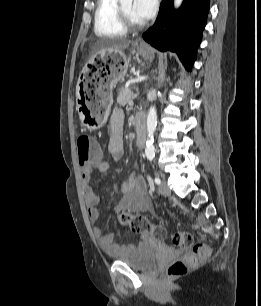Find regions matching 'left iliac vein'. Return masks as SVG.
Wrapping results in <instances>:
<instances>
[{"label":"left iliac vein","mask_w":261,"mask_h":306,"mask_svg":"<svg viewBox=\"0 0 261 306\" xmlns=\"http://www.w3.org/2000/svg\"><path fill=\"white\" fill-rule=\"evenodd\" d=\"M159 193L164 197L170 195L171 191L166 180H162V183L159 185Z\"/></svg>","instance_id":"4c4485c4"}]
</instances>
